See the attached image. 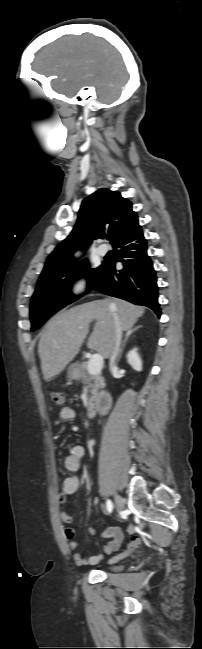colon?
<instances>
[{
	"label": "colon",
	"mask_w": 202,
	"mask_h": 649,
	"mask_svg": "<svg viewBox=\"0 0 202 649\" xmlns=\"http://www.w3.org/2000/svg\"><path fill=\"white\" fill-rule=\"evenodd\" d=\"M51 397H52L53 402H54L56 405L61 406V405H63L64 402H65V394H64L63 391H53V392L51 393ZM137 543H138V538H137V537H133V538L131 539V542H130V547H134Z\"/></svg>",
	"instance_id": "1"
}]
</instances>
